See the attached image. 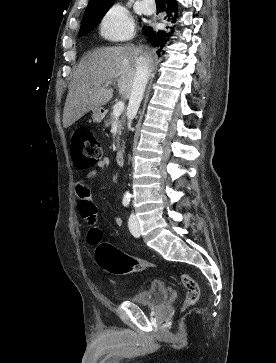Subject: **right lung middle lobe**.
<instances>
[{"mask_svg":"<svg viewBox=\"0 0 276 363\" xmlns=\"http://www.w3.org/2000/svg\"><path fill=\"white\" fill-rule=\"evenodd\" d=\"M113 4L114 2L98 5H88L83 15L79 35L84 36L92 31L101 22L103 16Z\"/></svg>","mask_w":276,"mask_h":363,"instance_id":"right-lung-middle-lobe-1","label":"right lung middle lobe"}]
</instances>
